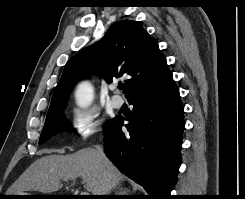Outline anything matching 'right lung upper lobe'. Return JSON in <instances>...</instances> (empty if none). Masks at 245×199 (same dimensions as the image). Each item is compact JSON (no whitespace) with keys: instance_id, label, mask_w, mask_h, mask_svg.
Returning <instances> with one entry per match:
<instances>
[{"instance_id":"1","label":"right lung upper lobe","mask_w":245,"mask_h":199,"mask_svg":"<svg viewBox=\"0 0 245 199\" xmlns=\"http://www.w3.org/2000/svg\"><path fill=\"white\" fill-rule=\"evenodd\" d=\"M92 71H99L108 83L124 77L127 99L155 91L173 79L158 43L139 22L124 20L67 62L47 116L65 107L73 84Z\"/></svg>"}]
</instances>
